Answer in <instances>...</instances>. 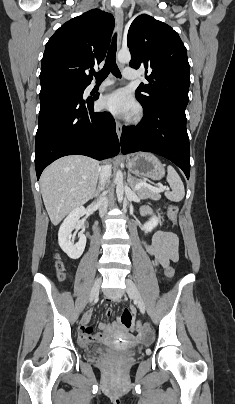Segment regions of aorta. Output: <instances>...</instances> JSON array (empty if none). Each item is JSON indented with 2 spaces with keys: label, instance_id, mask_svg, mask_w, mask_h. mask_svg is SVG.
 Returning a JSON list of instances; mask_svg holds the SVG:
<instances>
[{
  "label": "aorta",
  "instance_id": "aorta-1",
  "mask_svg": "<svg viewBox=\"0 0 235 404\" xmlns=\"http://www.w3.org/2000/svg\"><path fill=\"white\" fill-rule=\"evenodd\" d=\"M117 59L120 63H129L131 60V54L128 50H120L118 52ZM115 180L117 184L116 193L118 202L121 203L123 200L124 186H123V174L120 170L117 171Z\"/></svg>",
  "mask_w": 235,
  "mask_h": 404
}]
</instances>
